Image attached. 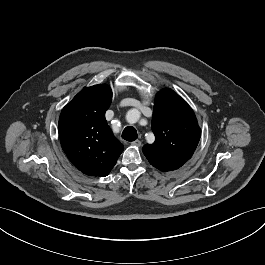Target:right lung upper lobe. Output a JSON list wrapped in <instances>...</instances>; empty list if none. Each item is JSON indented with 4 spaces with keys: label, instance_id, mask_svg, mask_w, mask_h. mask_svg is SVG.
Listing matches in <instances>:
<instances>
[{
    "label": "right lung upper lobe",
    "instance_id": "cb5924a9",
    "mask_svg": "<svg viewBox=\"0 0 265 265\" xmlns=\"http://www.w3.org/2000/svg\"><path fill=\"white\" fill-rule=\"evenodd\" d=\"M111 102L110 87L95 85L81 90L60 114L62 149L73 165L89 176H107L124 149L105 119Z\"/></svg>",
    "mask_w": 265,
    "mask_h": 265
}]
</instances>
